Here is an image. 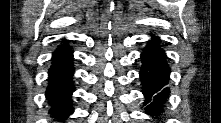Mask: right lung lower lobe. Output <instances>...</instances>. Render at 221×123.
Listing matches in <instances>:
<instances>
[{
	"instance_id": "1",
	"label": "right lung lower lobe",
	"mask_w": 221,
	"mask_h": 123,
	"mask_svg": "<svg viewBox=\"0 0 221 123\" xmlns=\"http://www.w3.org/2000/svg\"><path fill=\"white\" fill-rule=\"evenodd\" d=\"M72 53L67 42L63 41L54 51L52 65L48 71L49 84L46 97L51 106L49 113L62 122L74 111L71 100L74 91Z\"/></svg>"
}]
</instances>
